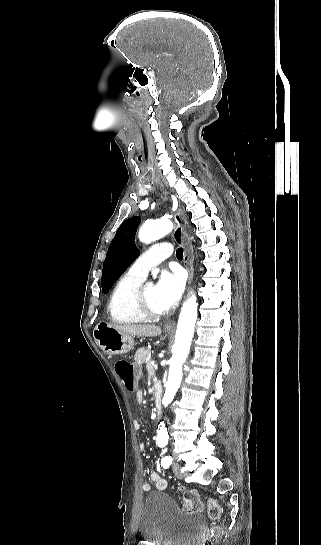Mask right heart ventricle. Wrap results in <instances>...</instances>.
<instances>
[{
  "instance_id": "e07e8e85",
  "label": "right heart ventricle",
  "mask_w": 321,
  "mask_h": 545,
  "mask_svg": "<svg viewBox=\"0 0 321 545\" xmlns=\"http://www.w3.org/2000/svg\"><path fill=\"white\" fill-rule=\"evenodd\" d=\"M142 281L128 272L118 278L107 302V313L112 323L119 326H130L146 320L132 308V294Z\"/></svg>"
}]
</instances>
